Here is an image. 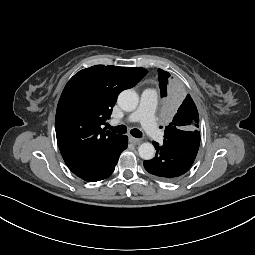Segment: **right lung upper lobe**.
I'll use <instances>...</instances> for the list:
<instances>
[{"label":"right lung upper lobe","mask_w":255,"mask_h":255,"mask_svg":"<svg viewBox=\"0 0 255 255\" xmlns=\"http://www.w3.org/2000/svg\"><path fill=\"white\" fill-rule=\"evenodd\" d=\"M147 70L95 65L76 73L58 102L55 130L61 155L71 171L117 148L124 135L102 129L119 93L135 86Z\"/></svg>","instance_id":"obj_1"}]
</instances>
